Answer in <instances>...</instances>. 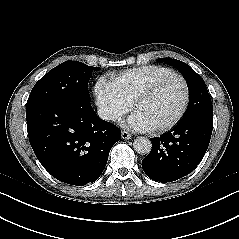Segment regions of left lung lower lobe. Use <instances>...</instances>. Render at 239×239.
Wrapping results in <instances>:
<instances>
[{
  "label": "left lung lower lobe",
  "mask_w": 239,
  "mask_h": 239,
  "mask_svg": "<svg viewBox=\"0 0 239 239\" xmlns=\"http://www.w3.org/2000/svg\"><path fill=\"white\" fill-rule=\"evenodd\" d=\"M212 130L213 115L201 114L152 138V150L142 160L144 172L152 180L162 183L186 176L206 153Z\"/></svg>",
  "instance_id": "left-lung-lower-lobe-1"
}]
</instances>
